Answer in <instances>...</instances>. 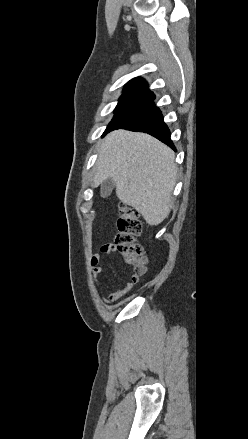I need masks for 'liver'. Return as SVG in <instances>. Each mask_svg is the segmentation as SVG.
<instances>
[{"mask_svg":"<svg viewBox=\"0 0 248 439\" xmlns=\"http://www.w3.org/2000/svg\"><path fill=\"white\" fill-rule=\"evenodd\" d=\"M174 159V152L150 135L113 131L101 144L94 186L111 178L118 199L139 212L149 226H156L171 211L177 173Z\"/></svg>","mask_w":248,"mask_h":439,"instance_id":"liver-1","label":"liver"}]
</instances>
